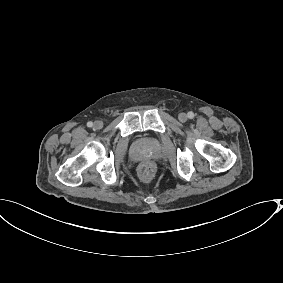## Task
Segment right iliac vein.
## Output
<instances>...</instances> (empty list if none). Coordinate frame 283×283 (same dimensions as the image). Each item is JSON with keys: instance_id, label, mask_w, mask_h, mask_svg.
Returning a JSON list of instances; mask_svg holds the SVG:
<instances>
[{"instance_id": "1", "label": "right iliac vein", "mask_w": 283, "mask_h": 283, "mask_svg": "<svg viewBox=\"0 0 283 283\" xmlns=\"http://www.w3.org/2000/svg\"><path fill=\"white\" fill-rule=\"evenodd\" d=\"M103 127V122L102 121H95L94 122V125H93V128L95 129V130H100L101 128Z\"/></svg>"}]
</instances>
